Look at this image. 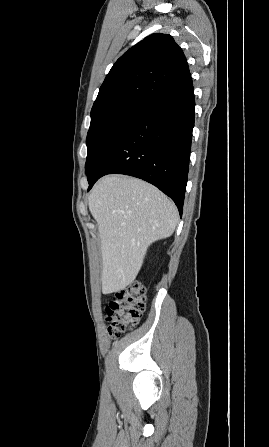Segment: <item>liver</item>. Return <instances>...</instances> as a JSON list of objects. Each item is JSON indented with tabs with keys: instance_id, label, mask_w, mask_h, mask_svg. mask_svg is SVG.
<instances>
[{
	"instance_id": "obj_1",
	"label": "liver",
	"mask_w": 269,
	"mask_h": 447,
	"mask_svg": "<svg viewBox=\"0 0 269 447\" xmlns=\"http://www.w3.org/2000/svg\"><path fill=\"white\" fill-rule=\"evenodd\" d=\"M101 237L102 293L133 283L151 243L172 235L178 212L155 186L129 178L106 176L88 198Z\"/></svg>"
}]
</instances>
